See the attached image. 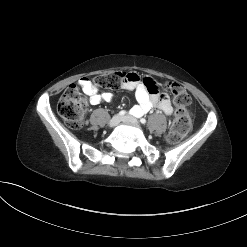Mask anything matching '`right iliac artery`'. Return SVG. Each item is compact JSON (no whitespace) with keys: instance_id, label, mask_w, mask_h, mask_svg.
Instances as JSON below:
<instances>
[{"instance_id":"right-iliac-artery-1","label":"right iliac artery","mask_w":247,"mask_h":247,"mask_svg":"<svg viewBox=\"0 0 247 247\" xmlns=\"http://www.w3.org/2000/svg\"><path fill=\"white\" fill-rule=\"evenodd\" d=\"M125 114H126V111L125 110H122V111L119 112V115H121V116H123ZM130 114H132V113L130 112Z\"/></svg>"}]
</instances>
